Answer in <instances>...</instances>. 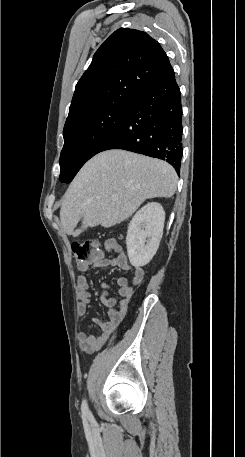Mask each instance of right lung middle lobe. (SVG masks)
I'll use <instances>...</instances> for the list:
<instances>
[{"label":"right lung middle lobe","mask_w":245,"mask_h":457,"mask_svg":"<svg viewBox=\"0 0 245 457\" xmlns=\"http://www.w3.org/2000/svg\"><path fill=\"white\" fill-rule=\"evenodd\" d=\"M132 102L115 101L66 121L60 155V182L72 181L79 169L113 136Z\"/></svg>","instance_id":"dd1d6c3e"}]
</instances>
